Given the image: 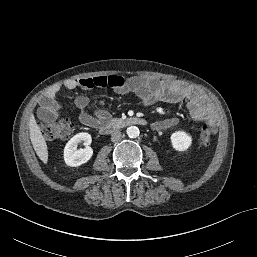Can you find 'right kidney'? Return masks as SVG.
Segmentation results:
<instances>
[{
  "label": "right kidney",
  "mask_w": 257,
  "mask_h": 257,
  "mask_svg": "<svg viewBox=\"0 0 257 257\" xmlns=\"http://www.w3.org/2000/svg\"><path fill=\"white\" fill-rule=\"evenodd\" d=\"M84 142L85 148L77 149L78 143ZM92 142L89 133H78L73 136L64 148V161L68 166L77 167L90 160L93 149L89 146Z\"/></svg>",
  "instance_id": "right-kidney-1"
}]
</instances>
